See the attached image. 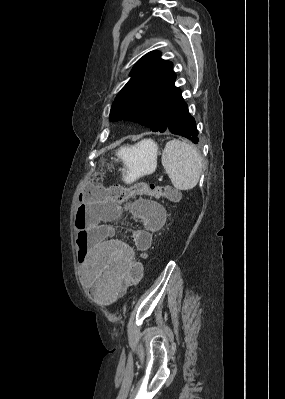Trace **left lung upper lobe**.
Here are the masks:
<instances>
[{
	"instance_id": "1",
	"label": "left lung upper lobe",
	"mask_w": 285,
	"mask_h": 399,
	"mask_svg": "<svg viewBox=\"0 0 285 399\" xmlns=\"http://www.w3.org/2000/svg\"><path fill=\"white\" fill-rule=\"evenodd\" d=\"M159 51L144 55L131 71V79L118 93L112 105L111 121L129 120L164 132L180 102L181 91L172 63L160 58Z\"/></svg>"
}]
</instances>
